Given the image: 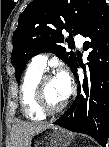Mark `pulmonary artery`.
Masks as SVG:
<instances>
[{"mask_svg":"<svg viewBox=\"0 0 109 147\" xmlns=\"http://www.w3.org/2000/svg\"><path fill=\"white\" fill-rule=\"evenodd\" d=\"M83 43H84L83 36L77 35L76 36L77 46L81 48L83 46ZM47 60H48V54L45 53L37 54L31 59L30 67L43 71L46 68Z\"/></svg>","mask_w":109,"mask_h":147,"instance_id":"e3ab8cb5","label":"pulmonary artery"}]
</instances>
